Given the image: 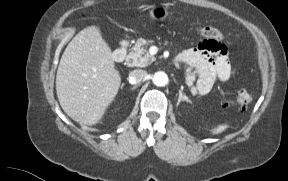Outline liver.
<instances>
[{"mask_svg":"<svg viewBox=\"0 0 288 181\" xmlns=\"http://www.w3.org/2000/svg\"><path fill=\"white\" fill-rule=\"evenodd\" d=\"M121 77L99 27H87L66 48L57 73L64 112L81 126L96 125L114 101Z\"/></svg>","mask_w":288,"mask_h":181,"instance_id":"obj_1","label":"liver"}]
</instances>
